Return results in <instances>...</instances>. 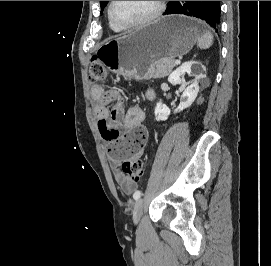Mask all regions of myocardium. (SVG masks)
I'll list each match as a JSON object with an SVG mask.
<instances>
[{
  "label": "myocardium",
  "mask_w": 271,
  "mask_h": 266,
  "mask_svg": "<svg viewBox=\"0 0 271 266\" xmlns=\"http://www.w3.org/2000/svg\"><path fill=\"white\" fill-rule=\"evenodd\" d=\"M115 4V1H110L109 6H108V18L110 20V22L117 28L122 29V30H128V29H135V28H139L145 25H148L152 22H154L155 20H157L161 14L164 11V1H155V8L153 10V12L147 16L146 18L142 19L141 21H138L136 23H132V24H124L121 23L119 21H117L113 15V6Z\"/></svg>",
  "instance_id": "obj_1"
}]
</instances>
